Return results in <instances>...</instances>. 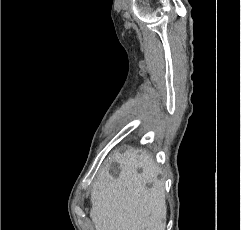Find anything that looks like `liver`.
Returning a JSON list of instances; mask_svg holds the SVG:
<instances>
[{
    "mask_svg": "<svg viewBox=\"0 0 241 230\" xmlns=\"http://www.w3.org/2000/svg\"><path fill=\"white\" fill-rule=\"evenodd\" d=\"M113 160L120 165L118 177L106 174L91 192L90 217L95 229L165 230V192L157 180L159 167L153 157L135 150L116 154Z\"/></svg>",
    "mask_w": 241,
    "mask_h": 230,
    "instance_id": "1",
    "label": "liver"
}]
</instances>
